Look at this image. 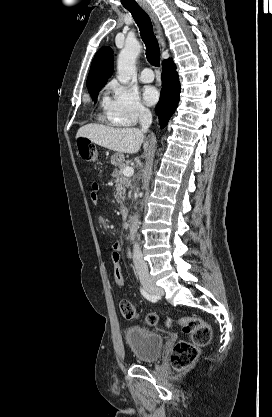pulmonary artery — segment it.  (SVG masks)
<instances>
[{
    "mask_svg": "<svg viewBox=\"0 0 272 417\" xmlns=\"http://www.w3.org/2000/svg\"><path fill=\"white\" fill-rule=\"evenodd\" d=\"M140 81L144 83L152 82L154 79L153 72L150 68H144L139 74Z\"/></svg>",
    "mask_w": 272,
    "mask_h": 417,
    "instance_id": "e3ab8cb5",
    "label": "pulmonary artery"
}]
</instances>
